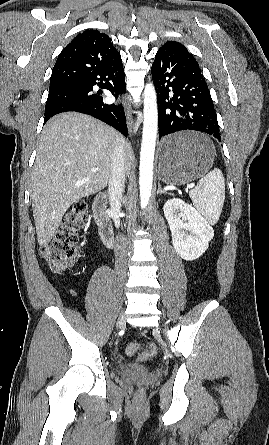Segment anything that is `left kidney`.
I'll list each match as a JSON object with an SVG mask.
<instances>
[{"label":"left kidney","mask_w":269,"mask_h":445,"mask_svg":"<svg viewBox=\"0 0 269 445\" xmlns=\"http://www.w3.org/2000/svg\"><path fill=\"white\" fill-rule=\"evenodd\" d=\"M163 210L177 254L187 261L203 255L214 237V230L210 224L195 208L181 199L168 200Z\"/></svg>","instance_id":"left-kidney-1"}]
</instances>
